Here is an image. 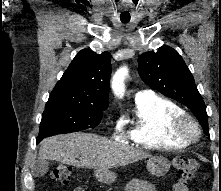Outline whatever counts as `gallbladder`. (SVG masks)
Returning <instances> with one entry per match:
<instances>
[{"label": "gallbladder", "instance_id": "obj_1", "mask_svg": "<svg viewBox=\"0 0 221 191\" xmlns=\"http://www.w3.org/2000/svg\"><path fill=\"white\" fill-rule=\"evenodd\" d=\"M50 162L48 160H39L34 164L32 174L34 177H41L49 170Z\"/></svg>", "mask_w": 221, "mask_h": 191}]
</instances>
